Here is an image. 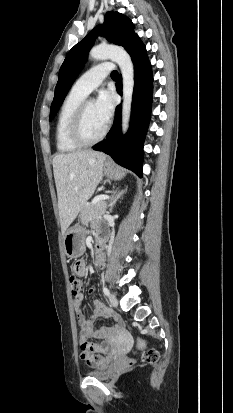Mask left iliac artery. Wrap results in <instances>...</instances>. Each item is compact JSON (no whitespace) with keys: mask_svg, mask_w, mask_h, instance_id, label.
<instances>
[{"mask_svg":"<svg viewBox=\"0 0 233 413\" xmlns=\"http://www.w3.org/2000/svg\"><path fill=\"white\" fill-rule=\"evenodd\" d=\"M103 293L105 296H109L110 294L109 289L107 287H103Z\"/></svg>","mask_w":233,"mask_h":413,"instance_id":"1","label":"left iliac artery"}]
</instances>
